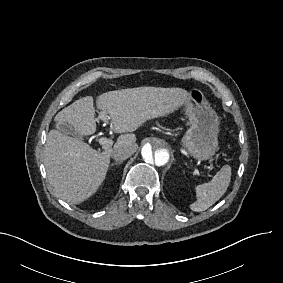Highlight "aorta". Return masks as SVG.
I'll return each instance as SVG.
<instances>
[{
	"label": "aorta",
	"mask_w": 283,
	"mask_h": 283,
	"mask_svg": "<svg viewBox=\"0 0 283 283\" xmlns=\"http://www.w3.org/2000/svg\"><path fill=\"white\" fill-rule=\"evenodd\" d=\"M143 163L152 170L165 168L171 161V147L169 143L156 136L144 139L141 149Z\"/></svg>",
	"instance_id": "aorta-1"
}]
</instances>
